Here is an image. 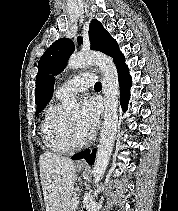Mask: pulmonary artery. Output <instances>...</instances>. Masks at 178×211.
I'll return each mask as SVG.
<instances>
[{
	"mask_svg": "<svg viewBox=\"0 0 178 211\" xmlns=\"http://www.w3.org/2000/svg\"><path fill=\"white\" fill-rule=\"evenodd\" d=\"M95 79L96 75L93 73L78 75L59 86L56 96L64 99L83 92L94 84Z\"/></svg>",
	"mask_w": 178,
	"mask_h": 211,
	"instance_id": "pulmonary-artery-1",
	"label": "pulmonary artery"
}]
</instances>
